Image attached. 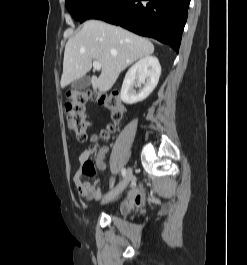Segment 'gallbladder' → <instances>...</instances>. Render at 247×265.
<instances>
[{
  "label": "gallbladder",
  "instance_id": "1",
  "mask_svg": "<svg viewBox=\"0 0 247 265\" xmlns=\"http://www.w3.org/2000/svg\"><path fill=\"white\" fill-rule=\"evenodd\" d=\"M90 82H91L90 77L83 76V77L75 80L72 83L71 87H72V89H80V90L86 89L87 87H89Z\"/></svg>",
  "mask_w": 247,
  "mask_h": 265
}]
</instances>
